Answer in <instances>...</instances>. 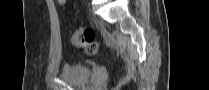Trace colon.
<instances>
[{
  "label": "colon",
  "instance_id": "obj_1",
  "mask_svg": "<svg viewBox=\"0 0 209 90\" xmlns=\"http://www.w3.org/2000/svg\"><path fill=\"white\" fill-rule=\"evenodd\" d=\"M61 2L64 3L65 1L62 0ZM71 42L87 54L95 53L98 48L95 32L90 28L79 27L75 29L71 36Z\"/></svg>",
  "mask_w": 209,
  "mask_h": 90
}]
</instances>
